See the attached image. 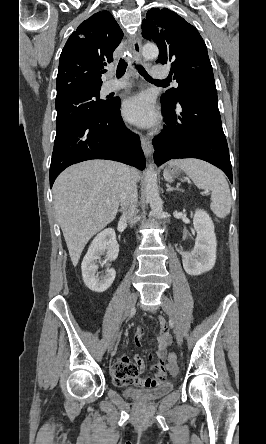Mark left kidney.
Wrapping results in <instances>:
<instances>
[{"label":"left kidney","mask_w":266,"mask_h":444,"mask_svg":"<svg viewBox=\"0 0 266 444\" xmlns=\"http://www.w3.org/2000/svg\"><path fill=\"white\" fill-rule=\"evenodd\" d=\"M193 225L197 232L195 247L184 254L182 262L186 273L198 276L214 267L217 241L213 221L206 211H195Z\"/></svg>","instance_id":"left-kidney-1"}]
</instances>
